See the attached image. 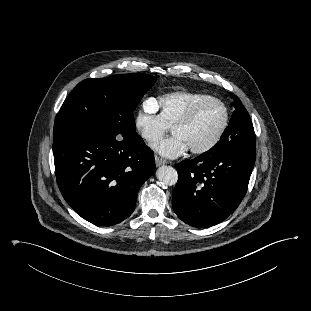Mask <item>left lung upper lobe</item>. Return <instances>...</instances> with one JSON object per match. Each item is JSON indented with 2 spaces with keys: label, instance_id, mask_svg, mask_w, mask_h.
<instances>
[{
  "label": "left lung upper lobe",
  "instance_id": "obj_1",
  "mask_svg": "<svg viewBox=\"0 0 311 311\" xmlns=\"http://www.w3.org/2000/svg\"><path fill=\"white\" fill-rule=\"evenodd\" d=\"M235 111L220 141L205 153L217 154L238 147L255 148V132L250 116L237 96L231 93Z\"/></svg>",
  "mask_w": 311,
  "mask_h": 311
}]
</instances>
